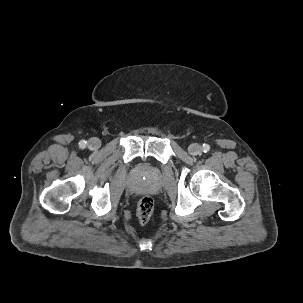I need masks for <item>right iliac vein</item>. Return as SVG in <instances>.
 <instances>
[{"label":"right iliac vein","mask_w":303,"mask_h":303,"mask_svg":"<svg viewBox=\"0 0 303 303\" xmlns=\"http://www.w3.org/2000/svg\"><path fill=\"white\" fill-rule=\"evenodd\" d=\"M101 146V142L98 138H91L88 141V147L92 150H96Z\"/></svg>","instance_id":"1"}]
</instances>
